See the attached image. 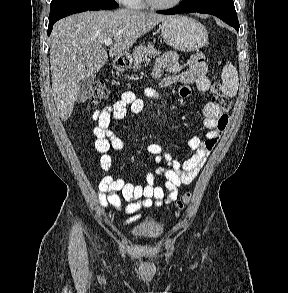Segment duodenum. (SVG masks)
Returning <instances> with one entry per match:
<instances>
[{
  "mask_svg": "<svg viewBox=\"0 0 288 293\" xmlns=\"http://www.w3.org/2000/svg\"><path fill=\"white\" fill-rule=\"evenodd\" d=\"M125 66V61L122 58H116L113 62V67L116 70H121Z\"/></svg>",
  "mask_w": 288,
  "mask_h": 293,
  "instance_id": "duodenum-1",
  "label": "duodenum"
}]
</instances>
